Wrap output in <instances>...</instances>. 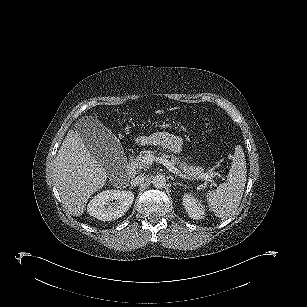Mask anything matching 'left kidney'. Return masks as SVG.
Returning <instances> with one entry per match:
<instances>
[{
  "label": "left kidney",
  "instance_id": "1",
  "mask_svg": "<svg viewBox=\"0 0 307 307\" xmlns=\"http://www.w3.org/2000/svg\"><path fill=\"white\" fill-rule=\"evenodd\" d=\"M182 204L188 213L189 217L194 220H200L205 217L206 211L201 204V201L195 197L191 192L184 193L182 197Z\"/></svg>",
  "mask_w": 307,
  "mask_h": 307
}]
</instances>
